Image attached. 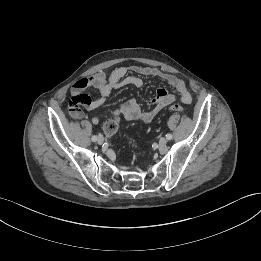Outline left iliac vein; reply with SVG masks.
Here are the masks:
<instances>
[{
  "mask_svg": "<svg viewBox=\"0 0 261 261\" xmlns=\"http://www.w3.org/2000/svg\"><path fill=\"white\" fill-rule=\"evenodd\" d=\"M166 144H167V139L164 137L160 138V140H159L160 147H164V146H166Z\"/></svg>",
  "mask_w": 261,
  "mask_h": 261,
  "instance_id": "left-iliac-vein-1",
  "label": "left iliac vein"
}]
</instances>
